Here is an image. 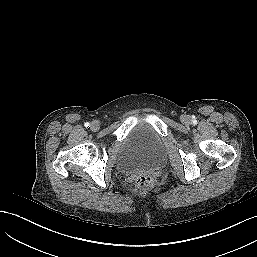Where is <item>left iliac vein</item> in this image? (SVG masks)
<instances>
[{
	"mask_svg": "<svg viewBox=\"0 0 257 257\" xmlns=\"http://www.w3.org/2000/svg\"><path fill=\"white\" fill-rule=\"evenodd\" d=\"M181 120L185 125H189L191 123V119L187 115H184Z\"/></svg>",
	"mask_w": 257,
	"mask_h": 257,
	"instance_id": "4c4485c4",
	"label": "left iliac vein"
}]
</instances>
